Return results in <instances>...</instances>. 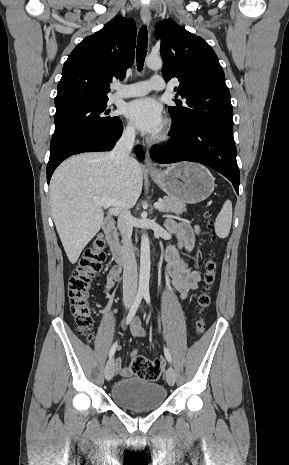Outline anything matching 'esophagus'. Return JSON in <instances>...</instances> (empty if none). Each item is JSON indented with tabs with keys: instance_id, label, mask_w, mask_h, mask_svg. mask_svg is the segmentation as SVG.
<instances>
[{
	"instance_id": "1",
	"label": "esophagus",
	"mask_w": 289,
	"mask_h": 465,
	"mask_svg": "<svg viewBox=\"0 0 289 465\" xmlns=\"http://www.w3.org/2000/svg\"><path fill=\"white\" fill-rule=\"evenodd\" d=\"M141 19L145 25H149L151 21V13L148 8H143L140 12ZM145 167L149 171H156V166L152 162L150 155H149V150L146 151V159H145Z\"/></svg>"
}]
</instances>
